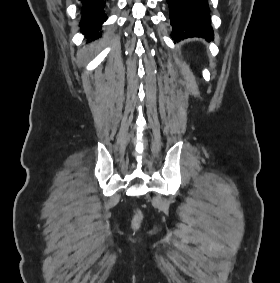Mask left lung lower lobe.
I'll use <instances>...</instances> for the list:
<instances>
[{"instance_id": "0a47b994", "label": "left lung lower lobe", "mask_w": 280, "mask_h": 283, "mask_svg": "<svg viewBox=\"0 0 280 283\" xmlns=\"http://www.w3.org/2000/svg\"><path fill=\"white\" fill-rule=\"evenodd\" d=\"M174 42L190 37L213 39L207 0H166Z\"/></svg>"}]
</instances>
